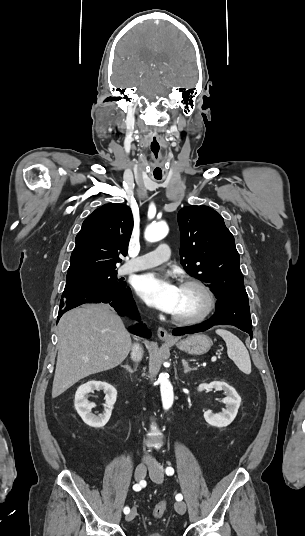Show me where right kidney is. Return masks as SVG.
I'll return each mask as SVG.
<instances>
[{
    "label": "right kidney",
    "instance_id": "right-kidney-1",
    "mask_svg": "<svg viewBox=\"0 0 305 536\" xmlns=\"http://www.w3.org/2000/svg\"><path fill=\"white\" fill-rule=\"evenodd\" d=\"M93 390H104L106 392L104 398L106 404H103L105 412L104 414H100V416L91 414V410L95 408V404H89L87 400L89 392H93ZM116 398L117 390L113 386H110L107 382H95V380H91V382H86V384L79 386L75 394V408L85 424L92 426V428H103L108 420H110Z\"/></svg>",
    "mask_w": 305,
    "mask_h": 536
}]
</instances>
